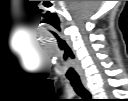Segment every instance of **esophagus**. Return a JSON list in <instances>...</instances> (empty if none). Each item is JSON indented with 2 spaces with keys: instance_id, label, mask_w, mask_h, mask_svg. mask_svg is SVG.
I'll return each mask as SVG.
<instances>
[{
  "instance_id": "1",
  "label": "esophagus",
  "mask_w": 128,
  "mask_h": 101,
  "mask_svg": "<svg viewBox=\"0 0 128 101\" xmlns=\"http://www.w3.org/2000/svg\"><path fill=\"white\" fill-rule=\"evenodd\" d=\"M81 81H82L83 86H84L87 90H89V86H88V83H87V79H86L85 77H82V78H81Z\"/></svg>"
}]
</instances>
